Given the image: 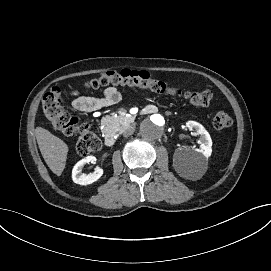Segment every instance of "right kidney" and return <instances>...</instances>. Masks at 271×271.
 Here are the masks:
<instances>
[{
	"instance_id": "right-kidney-1",
	"label": "right kidney",
	"mask_w": 271,
	"mask_h": 271,
	"mask_svg": "<svg viewBox=\"0 0 271 271\" xmlns=\"http://www.w3.org/2000/svg\"><path fill=\"white\" fill-rule=\"evenodd\" d=\"M97 161L96 157L94 156H90L87 157L85 159H82L80 161H78L73 169H72V180L74 183L77 184H90L94 181H96L97 179H99L102 175V169L100 166H95L93 173L90 174H83V167L86 163H93L95 164Z\"/></svg>"
}]
</instances>
